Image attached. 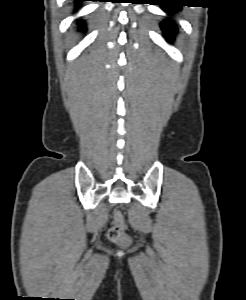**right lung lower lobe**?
Returning a JSON list of instances; mask_svg holds the SVG:
<instances>
[{
    "mask_svg": "<svg viewBox=\"0 0 246 300\" xmlns=\"http://www.w3.org/2000/svg\"><path fill=\"white\" fill-rule=\"evenodd\" d=\"M79 2H82V1H89V0H78ZM80 28L83 29L84 28V24H80Z\"/></svg>",
    "mask_w": 246,
    "mask_h": 300,
    "instance_id": "obj_1",
    "label": "right lung lower lobe"
}]
</instances>
